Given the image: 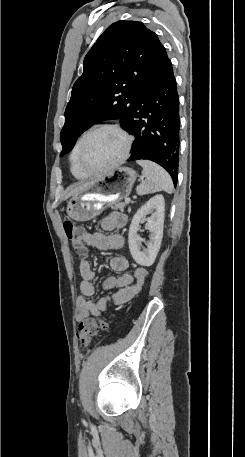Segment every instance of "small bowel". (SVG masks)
<instances>
[{"label": "small bowel", "mask_w": 245, "mask_h": 457, "mask_svg": "<svg viewBox=\"0 0 245 457\" xmlns=\"http://www.w3.org/2000/svg\"><path fill=\"white\" fill-rule=\"evenodd\" d=\"M126 223L127 216L125 214L118 211L110 212L100 223L102 232H83L84 241L86 244L99 250L119 249L124 245V238L122 235L112 232L122 229ZM109 264L112 270L122 272V274L118 277L107 278L103 284L104 288L115 290L109 295L100 298L97 302H94L89 300L95 293L93 283L95 277L94 270L87 260L80 262L79 273L81 282L79 288L81 296L76 300V318L78 321H82L89 316H100L101 313L110 307L129 301L140 291L147 277V270L145 268H130L127 257H111Z\"/></svg>", "instance_id": "small-bowel-1"}]
</instances>
